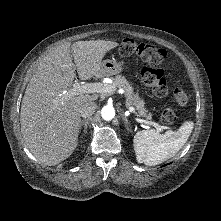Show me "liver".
<instances>
[{"instance_id":"6515ba94","label":"liver","mask_w":221,"mask_h":221,"mask_svg":"<svg viewBox=\"0 0 221 221\" xmlns=\"http://www.w3.org/2000/svg\"><path fill=\"white\" fill-rule=\"evenodd\" d=\"M118 45L105 40L67 42L41 60L20 111L23 139L41 163L54 166L71 156L78 144L80 109L98 98L96 93L63 95L76 77L75 70L82 80L98 75L105 54Z\"/></svg>"}]
</instances>
